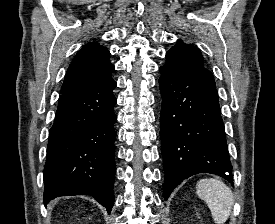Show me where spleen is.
<instances>
[{
    "label": "spleen",
    "instance_id": "3e777b00",
    "mask_svg": "<svg viewBox=\"0 0 275 224\" xmlns=\"http://www.w3.org/2000/svg\"><path fill=\"white\" fill-rule=\"evenodd\" d=\"M196 193L207 203L216 224H224L228 220L234 197L225 183L214 178L201 179L197 182Z\"/></svg>",
    "mask_w": 275,
    "mask_h": 224
}]
</instances>
